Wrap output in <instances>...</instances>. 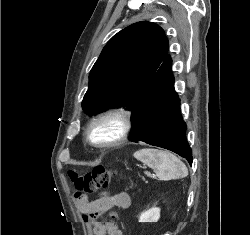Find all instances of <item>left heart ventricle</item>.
<instances>
[{
  "mask_svg": "<svg viewBox=\"0 0 250 235\" xmlns=\"http://www.w3.org/2000/svg\"><path fill=\"white\" fill-rule=\"evenodd\" d=\"M117 132V123L115 121L108 120L99 123L93 130L92 136L95 140L105 141L114 138Z\"/></svg>",
  "mask_w": 250,
  "mask_h": 235,
  "instance_id": "1",
  "label": "left heart ventricle"
}]
</instances>
